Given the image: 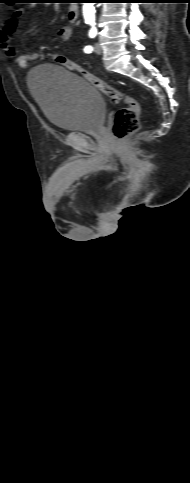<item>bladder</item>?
I'll use <instances>...</instances> for the list:
<instances>
[{"mask_svg": "<svg viewBox=\"0 0 190 483\" xmlns=\"http://www.w3.org/2000/svg\"><path fill=\"white\" fill-rule=\"evenodd\" d=\"M28 87L46 119L63 131H98L106 105L95 86L61 66L45 64L32 69Z\"/></svg>", "mask_w": 190, "mask_h": 483, "instance_id": "bladder-1", "label": "bladder"}]
</instances>
